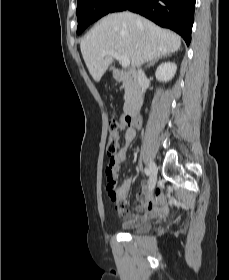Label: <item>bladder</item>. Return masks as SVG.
<instances>
[{"instance_id":"bladder-1","label":"bladder","mask_w":229,"mask_h":280,"mask_svg":"<svg viewBox=\"0 0 229 280\" xmlns=\"http://www.w3.org/2000/svg\"><path fill=\"white\" fill-rule=\"evenodd\" d=\"M152 228V221L144 219L139 221L136 225L129 228L131 233H147Z\"/></svg>"}]
</instances>
